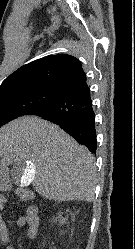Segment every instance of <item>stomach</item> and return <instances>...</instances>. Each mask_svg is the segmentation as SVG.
Returning <instances> with one entry per match:
<instances>
[{
    "label": "stomach",
    "instance_id": "1",
    "mask_svg": "<svg viewBox=\"0 0 135 249\" xmlns=\"http://www.w3.org/2000/svg\"><path fill=\"white\" fill-rule=\"evenodd\" d=\"M0 175H1V174H0ZM0 179H2V180H3L2 176H0ZM5 181H7V180L5 179Z\"/></svg>",
    "mask_w": 135,
    "mask_h": 249
}]
</instances>
